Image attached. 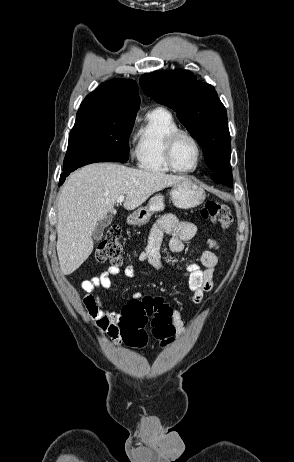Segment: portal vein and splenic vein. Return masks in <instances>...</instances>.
<instances>
[{
    "label": "portal vein and splenic vein",
    "instance_id": "1",
    "mask_svg": "<svg viewBox=\"0 0 294 462\" xmlns=\"http://www.w3.org/2000/svg\"><path fill=\"white\" fill-rule=\"evenodd\" d=\"M124 199H125V197H124L123 195H121V196H119V197L117 198V202H118V203H121V202L124 201Z\"/></svg>",
    "mask_w": 294,
    "mask_h": 462
}]
</instances>
